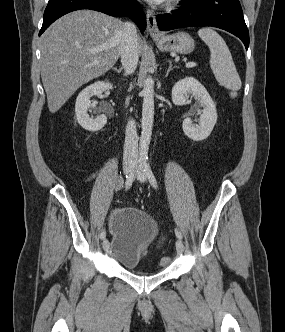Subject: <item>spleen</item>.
I'll return each mask as SVG.
<instances>
[{
	"instance_id": "1",
	"label": "spleen",
	"mask_w": 285,
	"mask_h": 332,
	"mask_svg": "<svg viewBox=\"0 0 285 332\" xmlns=\"http://www.w3.org/2000/svg\"><path fill=\"white\" fill-rule=\"evenodd\" d=\"M198 35L209 47L210 67L216 80L230 91V97H237L242 83L224 39L212 28H202Z\"/></svg>"
}]
</instances>
